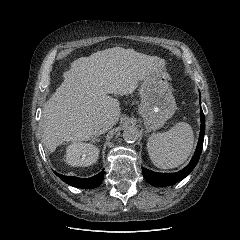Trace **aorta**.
<instances>
[{
    "mask_svg": "<svg viewBox=\"0 0 240 240\" xmlns=\"http://www.w3.org/2000/svg\"><path fill=\"white\" fill-rule=\"evenodd\" d=\"M139 138V130L135 126H128L123 131V139L127 143H134Z\"/></svg>",
    "mask_w": 240,
    "mask_h": 240,
    "instance_id": "obj_1",
    "label": "aorta"
}]
</instances>
